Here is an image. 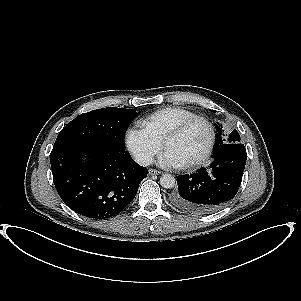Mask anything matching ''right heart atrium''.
Instances as JSON below:
<instances>
[{
	"label": "right heart atrium",
	"mask_w": 301,
	"mask_h": 301,
	"mask_svg": "<svg viewBox=\"0 0 301 301\" xmlns=\"http://www.w3.org/2000/svg\"><path fill=\"white\" fill-rule=\"evenodd\" d=\"M126 146L141 164H150L160 152L162 144L144 128L132 127L126 131Z\"/></svg>",
	"instance_id": "right-heart-atrium-1"
}]
</instances>
